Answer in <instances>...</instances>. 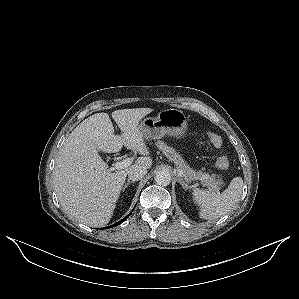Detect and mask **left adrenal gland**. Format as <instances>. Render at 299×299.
<instances>
[{"label":"left adrenal gland","instance_id":"1","mask_svg":"<svg viewBox=\"0 0 299 299\" xmlns=\"http://www.w3.org/2000/svg\"><path fill=\"white\" fill-rule=\"evenodd\" d=\"M178 177V182L182 185L183 189H187L188 185L184 182V180L180 177Z\"/></svg>","mask_w":299,"mask_h":299}]
</instances>
